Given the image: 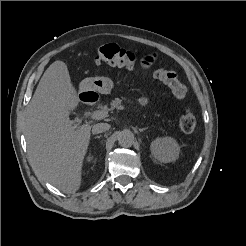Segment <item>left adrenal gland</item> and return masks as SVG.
Masks as SVG:
<instances>
[{"instance_id":"a2214340","label":"left adrenal gland","mask_w":246,"mask_h":246,"mask_svg":"<svg viewBox=\"0 0 246 246\" xmlns=\"http://www.w3.org/2000/svg\"><path fill=\"white\" fill-rule=\"evenodd\" d=\"M147 128L145 127V128H139V131L140 132H143L144 130H146Z\"/></svg>"}]
</instances>
